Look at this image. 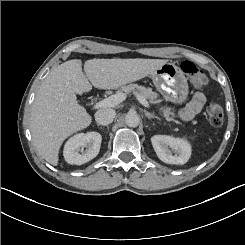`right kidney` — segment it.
<instances>
[{
	"mask_svg": "<svg viewBox=\"0 0 245 245\" xmlns=\"http://www.w3.org/2000/svg\"><path fill=\"white\" fill-rule=\"evenodd\" d=\"M102 136L90 131L80 132L69 137L63 147V157L70 165H81L95 158L100 150ZM82 153H79V152Z\"/></svg>",
	"mask_w": 245,
	"mask_h": 245,
	"instance_id": "right-kidney-1",
	"label": "right kidney"
}]
</instances>
